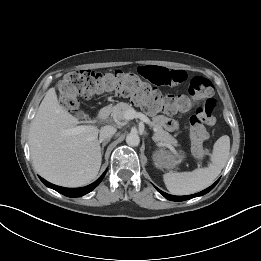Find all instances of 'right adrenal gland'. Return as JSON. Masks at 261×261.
<instances>
[{
	"label": "right adrenal gland",
	"instance_id": "right-adrenal-gland-1",
	"mask_svg": "<svg viewBox=\"0 0 261 261\" xmlns=\"http://www.w3.org/2000/svg\"><path fill=\"white\" fill-rule=\"evenodd\" d=\"M109 140H105L103 143H102V147H101V153L103 154L104 152V147L108 144Z\"/></svg>",
	"mask_w": 261,
	"mask_h": 261
}]
</instances>
